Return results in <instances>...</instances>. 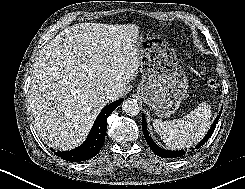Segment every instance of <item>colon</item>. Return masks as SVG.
<instances>
[{
  "label": "colon",
  "mask_w": 245,
  "mask_h": 189,
  "mask_svg": "<svg viewBox=\"0 0 245 189\" xmlns=\"http://www.w3.org/2000/svg\"><path fill=\"white\" fill-rule=\"evenodd\" d=\"M207 85L209 88L214 89L217 87V82L214 79H209Z\"/></svg>",
  "instance_id": "colon-1"
}]
</instances>
